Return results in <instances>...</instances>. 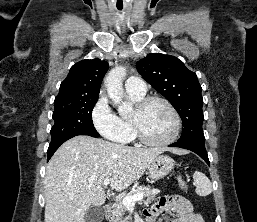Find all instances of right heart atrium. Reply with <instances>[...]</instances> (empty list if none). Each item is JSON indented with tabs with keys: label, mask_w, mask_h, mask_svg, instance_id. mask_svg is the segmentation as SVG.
<instances>
[{
	"label": "right heart atrium",
	"mask_w": 257,
	"mask_h": 222,
	"mask_svg": "<svg viewBox=\"0 0 257 222\" xmlns=\"http://www.w3.org/2000/svg\"><path fill=\"white\" fill-rule=\"evenodd\" d=\"M107 105V99L102 96L99 99L97 106H103L104 108H107ZM95 110L93 111L94 125L103 137L120 143H126L129 140V132L117 116L111 115L113 119V124L102 127L95 120Z\"/></svg>",
	"instance_id": "1"
}]
</instances>
